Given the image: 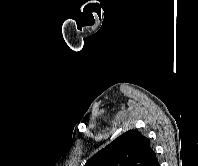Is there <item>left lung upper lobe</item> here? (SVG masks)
<instances>
[{
	"mask_svg": "<svg viewBox=\"0 0 198 166\" xmlns=\"http://www.w3.org/2000/svg\"><path fill=\"white\" fill-rule=\"evenodd\" d=\"M155 160L149 139L130 130L97 152L85 166H151Z\"/></svg>",
	"mask_w": 198,
	"mask_h": 166,
	"instance_id": "5c2ea615",
	"label": "left lung upper lobe"
}]
</instances>
